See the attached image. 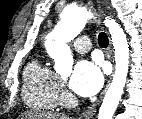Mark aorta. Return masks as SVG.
<instances>
[{
	"instance_id": "1",
	"label": "aorta",
	"mask_w": 142,
	"mask_h": 119,
	"mask_svg": "<svg viewBox=\"0 0 142 119\" xmlns=\"http://www.w3.org/2000/svg\"><path fill=\"white\" fill-rule=\"evenodd\" d=\"M92 18V13L82 7H66L61 20L53 31L46 36L47 54L55 62V70L61 74L72 72L73 58L67 43L73 40ZM115 55V73L99 110L98 119H112L126 84L129 69V46L122 27L111 18H106Z\"/></svg>"
}]
</instances>
